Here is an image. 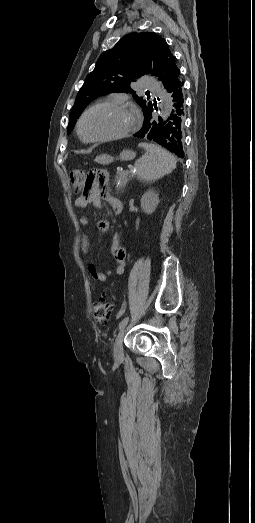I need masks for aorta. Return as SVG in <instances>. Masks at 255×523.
Wrapping results in <instances>:
<instances>
[{
    "label": "aorta",
    "instance_id": "762f6f07",
    "mask_svg": "<svg viewBox=\"0 0 255 523\" xmlns=\"http://www.w3.org/2000/svg\"><path fill=\"white\" fill-rule=\"evenodd\" d=\"M163 108H164V112H163L162 119L164 121L165 119H167L169 117V114L171 113V110H172V98L170 95H165V97L163 98Z\"/></svg>",
    "mask_w": 255,
    "mask_h": 523
}]
</instances>
